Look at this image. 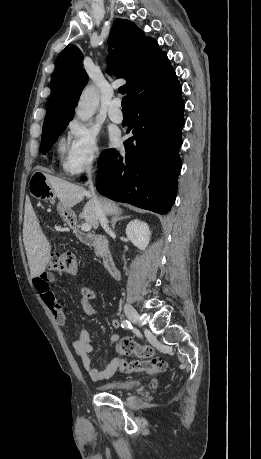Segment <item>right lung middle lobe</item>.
I'll return each mask as SVG.
<instances>
[{"label": "right lung middle lobe", "instance_id": "right-lung-middle-lobe-1", "mask_svg": "<svg viewBox=\"0 0 261 459\" xmlns=\"http://www.w3.org/2000/svg\"><path fill=\"white\" fill-rule=\"evenodd\" d=\"M67 125L68 123H64V124H58V125L43 128L42 139H41V150L43 154L52 147V145L56 142L59 135L67 127ZM100 159L101 157L99 158V161Z\"/></svg>", "mask_w": 261, "mask_h": 459}]
</instances>
